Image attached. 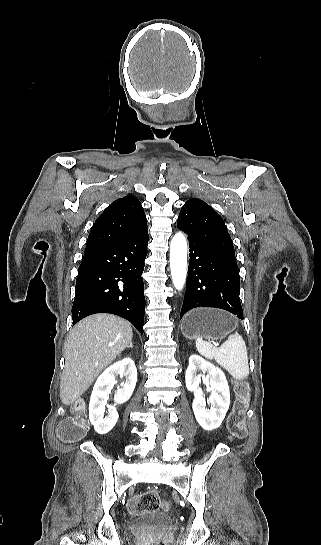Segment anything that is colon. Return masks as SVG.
<instances>
[{
  "label": "colon",
  "mask_w": 321,
  "mask_h": 545,
  "mask_svg": "<svg viewBox=\"0 0 321 545\" xmlns=\"http://www.w3.org/2000/svg\"><path fill=\"white\" fill-rule=\"evenodd\" d=\"M235 402L228 418L227 427L230 435L236 439H243L247 434L245 425V412L250 398L249 387L244 383L235 385ZM74 415L62 421L58 429L60 439L67 443L80 441L87 433L88 423L82 405H77ZM163 505L160 496L156 492H144L132 498L128 509L132 514L144 512H156ZM167 508V505L164 504ZM145 545H165L161 539L152 538Z\"/></svg>",
  "instance_id": "obj_1"
}]
</instances>
